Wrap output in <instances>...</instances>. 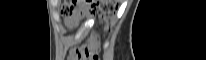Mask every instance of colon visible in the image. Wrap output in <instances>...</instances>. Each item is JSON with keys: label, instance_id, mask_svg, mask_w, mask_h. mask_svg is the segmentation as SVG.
I'll list each match as a JSON object with an SVG mask.
<instances>
[{"label": "colon", "instance_id": "5ec220e1", "mask_svg": "<svg viewBox=\"0 0 206 60\" xmlns=\"http://www.w3.org/2000/svg\"><path fill=\"white\" fill-rule=\"evenodd\" d=\"M115 6L112 0H65L62 6V13L68 17L79 19L85 12H95L99 9L102 12H108ZM98 44L92 41L89 45L75 50V55L79 60H97Z\"/></svg>", "mask_w": 206, "mask_h": 60}]
</instances>
